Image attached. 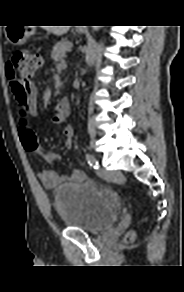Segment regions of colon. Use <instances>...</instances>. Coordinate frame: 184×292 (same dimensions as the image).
<instances>
[{"label": "colon", "instance_id": "5ec220e1", "mask_svg": "<svg viewBox=\"0 0 184 292\" xmlns=\"http://www.w3.org/2000/svg\"><path fill=\"white\" fill-rule=\"evenodd\" d=\"M41 65L42 58L40 55L20 50L15 52L9 60L6 72L17 97L21 122L19 136L24 149L46 162L55 163L60 159V156L39 144L30 125V120L36 117L39 112V97L36 88L32 85V79ZM133 238L134 233L129 232L127 239L131 240Z\"/></svg>", "mask_w": 184, "mask_h": 292}]
</instances>
